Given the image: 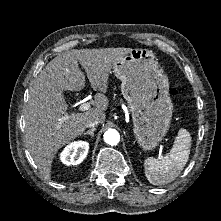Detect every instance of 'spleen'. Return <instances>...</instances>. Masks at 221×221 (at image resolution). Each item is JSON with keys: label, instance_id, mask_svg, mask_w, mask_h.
<instances>
[{"label": "spleen", "instance_id": "obj_1", "mask_svg": "<svg viewBox=\"0 0 221 221\" xmlns=\"http://www.w3.org/2000/svg\"><path fill=\"white\" fill-rule=\"evenodd\" d=\"M190 147V133L181 128L169 154L161 160L153 157L145 160L144 171L147 180L153 185H165L174 181L188 162Z\"/></svg>", "mask_w": 221, "mask_h": 221}]
</instances>
